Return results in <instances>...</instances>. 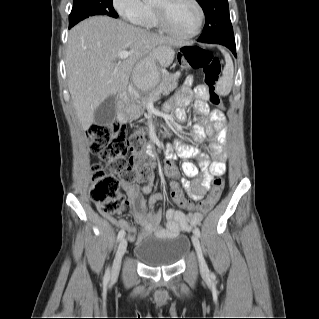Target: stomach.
Returning <instances> with one entry per match:
<instances>
[{
	"instance_id": "stomach-1",
	"label": "stomach",
	"mask_w": 319,
	"mask_h": 319,
	"mask_svg": "<svg viewBox=\"0 0 319 319\" xmlns=\"http://www.w3.org/2000/svg\"><path fill=\"white\" fill-rule=\"evenodd\" d=\"M175 56L171 45L157 46L152 54L138 63L133 70V81L142 91L146 92L155 87L160 81V69L168 67Z\"/></svg>"
}]
</instances>
